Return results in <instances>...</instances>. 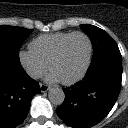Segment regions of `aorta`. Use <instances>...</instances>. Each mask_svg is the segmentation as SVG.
Masks as SVG:
<instances>
[{
	"mask_svg": "<svg viewBox=\"0 0 128 128\" xmlns=\"http://www.w3.org/2000/svg\"><path fill=\"white\" fill-rule=\"evenodd\" d=\"M48 98L54 105H61L64 102L65 94L60 88H52L49 90Z\"/></svg>",
	"mask_w": 128,
	"mask_h": 128,
	"instance_id": "1",
	"label": "aorta"
}]
</instances>
